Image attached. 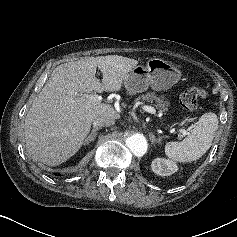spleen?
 Listing matches in <instances>:
<instances>
[{
    "label": "spleen",
    "instance_id": "3e777b00",
    "mask_svg": "<svg viewBox=\"0 0 237 237\" xmlns=\"http://www.w3.org/2000/svg\"><path fill=\"white\" fill-rule=\"evenodd\" d=\"M217 129V115L212 112L205 113L182 142H168L165 145V154L180 163L196 161L210 148Z\"/></svg>",
    "mask_w": 237,
    "mask_h": 237
}]
</instances>
